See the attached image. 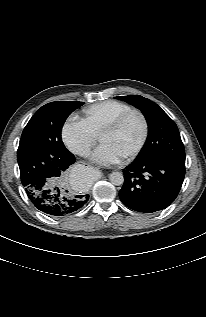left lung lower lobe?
I'll list each match as a JSON object with an SVG mask.
<instances>
[{
  "label": "left lung lower lobe",
  "instance_id": "0a47b994",
  "mask_svg": "<svg viewBox=\"0 0 206 317\" xmlns=\"http://www.w3.org/2000/svg\"><path fill=\"white\" fill-rule=\"evenodd\" d=\"M119 192L124 205L152 213L168 207L177 197L185 176V162L155 158L135 160L124 170Z\"/></svg>",
  "mask_w": 206,
  "mask_h": 317
}]
</instances>
